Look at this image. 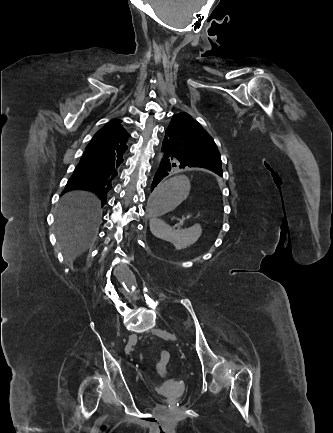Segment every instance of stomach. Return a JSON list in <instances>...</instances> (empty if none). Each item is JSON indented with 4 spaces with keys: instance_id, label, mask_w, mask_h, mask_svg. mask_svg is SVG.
<instances>
[{
    "instance_id": "obj_1",
    "label": "stomach",
    "mask_w": 333,
    "mask_h": 433,
    "mask_svg": "<svg viewBox=\"0 0 333 433\" xmlns=\"http://www.w3.org/2000/svg\"><path fill=\"white\" fill-rule=\"evenodd\" d=\"M190 183L185 176H164L163 183H155L150 200L146 202V214L151 220H160L162 215H172L178 204L190 199Z\"/></svg>"
}]
</instances>
